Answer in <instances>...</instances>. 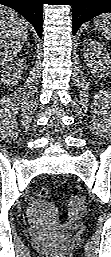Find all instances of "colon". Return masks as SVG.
Returning <instances> with one entry per match:
<instances>
[{"mask_svg":"<svg viewBox=\"0 0 111 257\" xmlns=\"http://www.w3.org/2000/svg\"><path fill=\"white\" fill-rule=\"evenodd\" d=\"M49 196H50V191H49L48 188L42 187L38 190L37 197H38V200L40 202V205L43 208H49L50 207V203H48V201H47Z\"/></svg>","mask_w":111,"mask_h":257,"instance_id":"1","label":"colon"}]
</instances>
